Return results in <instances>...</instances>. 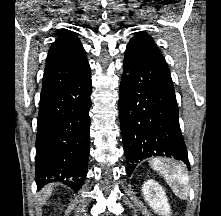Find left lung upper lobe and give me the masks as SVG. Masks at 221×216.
Masks as SVG:
<instances>
[{
	"label": "left lung upper lobe",
	"mask_w": 221,
	"mask_h": 216,
	"mask_svg": "<svg viewBox=\"0 0 221 216\" xmlns=\"http://www.w3.org/2000/svg\"><path fill=\"white\" fill-rule=\"evenodd\" d=\"M129 42L141 44L143 46H147L157 52H159L156 44L153 39L145 32H138Z\"/></svg>",
	"instance_id": "1"
}]
</instances>
